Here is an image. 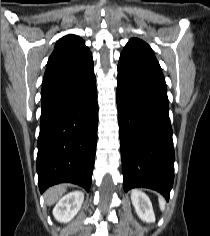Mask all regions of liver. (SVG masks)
I'll use <instances>...</instances> for the list:
<instances>
[{
    "label": "liver",
    "mask_w": 210,
    "mask_h": 236,
    "mask_svg": "<svg viewBox=\"0 0 210 236\" xmlns=\"http://www.w3.org/2000/svg\"><path fill=\"white\" fill-rule=\"evenodd\" d=\"M66 191L65 185L51 187L44 194L47 205H53Z\"/></svg>",
    "instance_id": "liver-1"
}]
</instances>
